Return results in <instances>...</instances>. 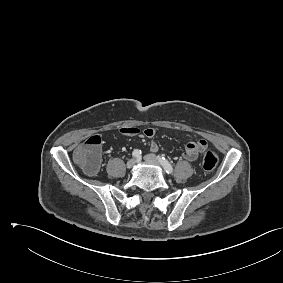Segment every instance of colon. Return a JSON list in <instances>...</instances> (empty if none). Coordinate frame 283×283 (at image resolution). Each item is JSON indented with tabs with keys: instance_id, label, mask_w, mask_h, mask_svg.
I'll use <instances>...</instances> for the list:
<instances>
[{
	"instance_id": "colon-1",
	"label": "colon",
	"mask_w": 283,
	"mask_h": 283,
	"mask_svg": "<svg viewBox=\"0 0 283 283\" xmlns=\"http://www.w3.org/2000/svg\"><path fill=\"white\" fill-rule=\"evenodd\" d=\"M101 138L99 136L89 137L74 152L75 161L88 173L94 174L99 169ZM218 164V156L207 151L202 158V166L205 170L211 171Z\"/></svg>"
}]
</instances>
